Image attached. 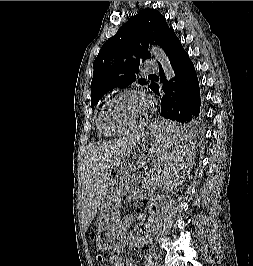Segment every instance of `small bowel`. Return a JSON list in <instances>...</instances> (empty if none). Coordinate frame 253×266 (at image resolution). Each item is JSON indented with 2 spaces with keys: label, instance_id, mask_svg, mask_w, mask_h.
Wrapping results in <instances>:
<instances>
[{
  "label": "small bowel",
  "instance_id": "c3829d8e",
  "mask_svg": "<svg viewBox=\"0 0 253 266\" xmlns=\"http://www.w3.org/2000/svg\"><path fill=\"white\" fill-rule=\"evenodd\" d=\"M110 259H116L117 262H118L117 266H137V264L132 262V261L123 260L121 258H117V257H114V256L111 257ZM144 261H145L146 266H151L152 256L150 254H146L144 256Z\"/></svg>",
  "mask_w": 253,
  "mask_h": 266
}]
</instances>
